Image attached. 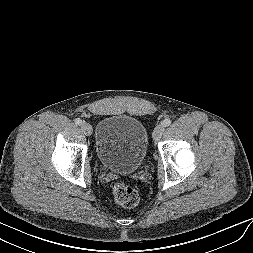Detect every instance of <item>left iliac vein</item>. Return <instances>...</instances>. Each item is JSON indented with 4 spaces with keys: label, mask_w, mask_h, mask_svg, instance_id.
<instances>
[{
    "label": "left iliac vein",
    "mask_w": 253,
    "mask_h": 253,
    "mask_svg": "<svg viewBox=\"0 0 253 253\" xmlns=\"http://www.w3.org/2000/svg\"><path fill=\"white\" fill-rule=\"evenodd\" d=\"M164 126L163 125H158L155 127L154 131H153V139L154 141H159L160 138L162 137L163 133H164Z\"/></svg>",
    "instance_id": "obj_1"
}]
</instances>
